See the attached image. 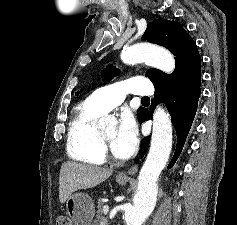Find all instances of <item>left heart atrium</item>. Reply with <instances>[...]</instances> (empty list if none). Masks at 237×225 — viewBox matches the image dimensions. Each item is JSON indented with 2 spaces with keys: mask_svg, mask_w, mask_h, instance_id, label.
Here are the masks:
<instances>
[{
  "mask_svg": "<svg viewBox=\"0 0 237 225\" xmlns=\"http://www.w3.org/2000/svg\"><path fill=\"white\" fill-rule=\"evenodd\" d=\"M139 142L138 128L132 114L121 115L113 141V149L119 158H128L135 152Z\"/></svg>",
  "mask_w": 237,
  "mask_h": 225,
  "instance_id": "1",
  "label": "left heart atrium"
}]
</instances>
